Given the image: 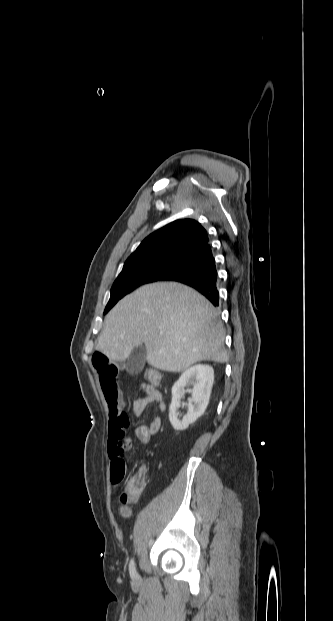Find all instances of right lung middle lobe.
I'll return each mask as SVG.
<instances>
[{
    "mask_svg": "<svg viewBox=\"0 0 333 621\" xmlns=\"http://www.w3.org/2000/svg\"><path fill=\"white\" fill-rule=\"evenodd\" d=\"M185 259L166 257L125 263L122 272L111 288V297L105 308L107 313L123 296L140 285L162 280L178 268Z\"/></svg>",
    "mask_w": 333,
    "mask_h": 621,
    "instance_id": "dd1d6c3e",
    "label": "right lung middle lobe"
}]
</instances>
